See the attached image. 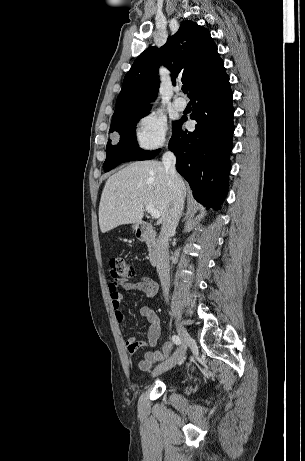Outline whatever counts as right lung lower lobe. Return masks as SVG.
Wrapping results in <instances>:
<instances>
[{"label": "right lung lower lobe", "instance_id": "right-lung-lower-lobe-1", "mask_svg": "<svg viewBox=\"0 0 305 461\" xmlns=\"http://www.w3.org/2000/svg\"><path fill=\"white\" fill-rule=\"evenodd\" d=\"M190 99V118L197 121L196 129L193 133L182 131L186 119L178 120L168 148L176 155V169L188 181L195 199L207 209L219 210L227 193L234 131L232 91L226 72Z\"/></svg>", "mask_w": 305, "mask_h": 461}]
</instances>
